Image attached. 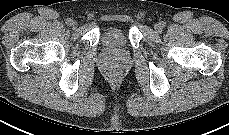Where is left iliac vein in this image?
I'll return each instance as SVG.
<instances>
[{
	"label": "left iliac vein",
	"instance_id": "obj_1",
	"mask_svg": "<svg viewBox=\"0 0 229 135\" xmlns=\"http://www.w3.org/2000/svg\"><path fill=\"white\" fill-rule=\"evenodd\" d=\"M154 29H155L156 31H160V30L162 29L161 24H160V23L155 24V25H154Z\"/></svg>",
	"mask_w": 229,
	"mask_h": 135
}]
</instances>
